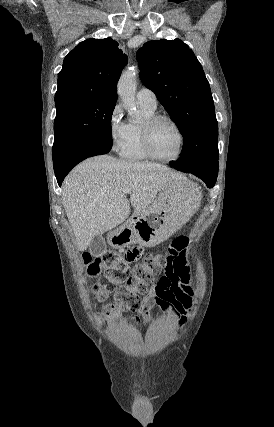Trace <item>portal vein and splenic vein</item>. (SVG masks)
Returning a JSON list of instances; mask_svg holds the SVG:
<instances>
[{
  "mask_svg": "<svg viewBox=\"0 0 274 427\" xmlns=\"http://www.w3.org/2000/svg\"><path fill=\"white\" fill-rule=\"evenodd\" d=\"M130 190H123V196H127L129 194Z\"/></svg>",
  "mask_w": 274,
  "mask_h": 427,
  "instance_id": "portal-vein-and-splenic-vein-1",
  "label": "portal vein and splenic vein"
}]
</instances>
